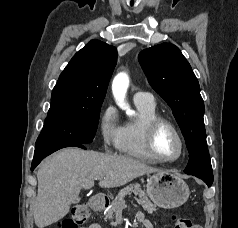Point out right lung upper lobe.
I'll list each match as a JSON object with an SVG mask.
<instances>
[{
    "label": "right lung upper lobe",
    "mask_w": 238,
    "mask_h": 228,
    "mask_svg": "<svg viewBox=\"0 0 238 228\" xmlns=\"http://www.w3.org/2000/svg\"><path fill=\"white\" fill-rule=\"evenodd\" d=\"M116 62L115 47L91 40L61 73L52 91L48 113L102 105Z\"/></svg>",
    "instance_id": "right-lung-upper-lobe-1"
}]
</instances>
